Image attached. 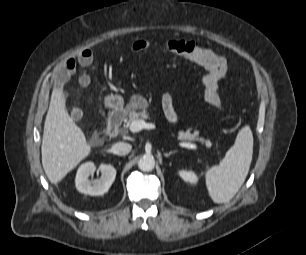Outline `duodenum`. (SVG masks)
Here are the masks:
<instances>
[{"label": "duodenum", "mask_w": 306, "mask_h": 255, "mask_svg": "<svg viewBox=\"0 0 306 255\" xmlns=\"http://www.w3.org/2000/svg\"><path fill=\"white\" fill-rule=\"evenodd\" d=\"M124 118V111L122 108H115L110 111L108 115L107 133L110 137L115 138L119 134L120 127Z\"/></svg>", "instance_id": "duodenum-1"}]
</instances>
